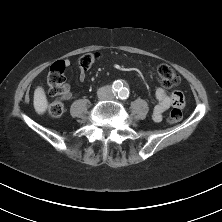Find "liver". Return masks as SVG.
I'll list each match as a JSON object with an SVG mask.
<instances>
[{
  "instance_id": "1",
  "label": "liver",
  "mask_w": 222,
  "mask_h": 222,
  "mask_svg": "<svg viewBox=\"0 0 222 222\" xmlns=\"http://www.w3.org/2000/svg\"><path fill=\"white\" fill-rule=\"evenodd\" d=\"M33 105L35 111L40 115L44 114L48 107V100L41 86H38L34 91Z\"/></svg>"
}]
</instances>
